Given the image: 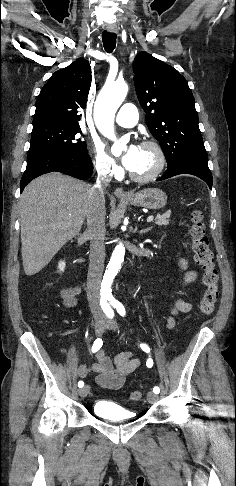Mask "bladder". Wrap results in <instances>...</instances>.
Instances as JSON below:
<instances>
[{"mask_svg": "<svg viewBox=\"0 0 236 486\" xmlns=\"http://www.w3.org/2000/svg\"><path fill=\"white\" fill-rule=\"evenodd\" d=\"M93 412L96 416L115 422H127L135 419L136 414L113 402L98 401L93 406Z\"/></svg>", "mask_w": 236, "mask_h": 486, "instance_id": "obj_1", "label": "bladder"}]
</instances>
